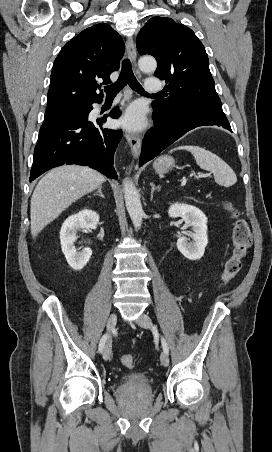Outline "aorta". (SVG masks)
Returning <instances> with one entry per match:
<instances>
[{
    "mask_svg": "<svg viewBox=\"0 0 272 452\" xmlns=\"http://www.w3.org/2000/svg\"><path fill=\"white\" fill-rule=\"evenodd\" d=\"M139 68L144 72H153L157 68V62L153 57L144 56L138 61ZM124 199L127 211L136 229H140L144 216L140 195L133 182L126 178L123 186Z\"/></svg>",
    "mask_w": 272,
    "mask_h": 452,
    "instance_id": "1",
    "label": "aorta"
}]
</instances>
